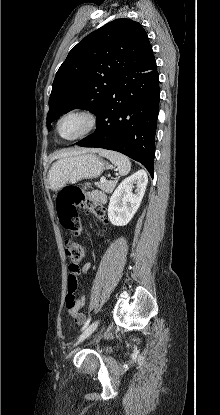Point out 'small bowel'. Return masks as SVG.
I'll use <instances>...</instances> for the list:
<instances>
[{"label": "small bowel", "mask_w": 220, "mask_h": 415, "mask_svg": "<svg viewBox=\"0 0 220 415\" xmlns=\"http://www.w3.org/2000/svg\"><path fill=\"white\" fill-rule=\"evenodd\" d=\"M105 200H106V197L104 193L100 191H92L88 193V199L86 201V204L88 208L93 209L96 203L102 204L105 202ZM98 219L103 221L104 216L98 217ZM90 267H91L90 262L84 261L79 271L81 274H85L89 271ZM84 305H85V298L83 296H80V297L77 296L74 305L72 306L66 305L69 316L73 318V320L79 325H83L86 320L85 314L82 311Z\"/></svg>", "instance_id": "small-bowel-1"}]
</instances>
